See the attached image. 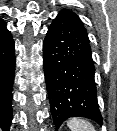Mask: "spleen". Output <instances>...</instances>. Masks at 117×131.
Returning a JSON list of instances; mask_svg holds the SVG:
<instances>
[{"label":"spleen","instance_id":"obj_1","mask_svg":"<svg viewBox=\"0 0 117 131\" xmlns=\"http://www.w3.org/2000/svg\"><path fill=\"white\" fill-rule=\"evenodd\" d=\"M67 126L71 131H96L89 121L76 117L69 119Z\"/></svg>","mask_w":117,"mask_h":131}]
</instances>
